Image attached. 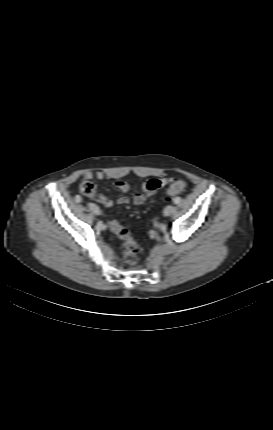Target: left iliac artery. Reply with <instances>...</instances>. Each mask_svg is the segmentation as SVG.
<instances>
[{"label": "left iliac artery", "mask_w": 273, "mask_h": 430, "mask_svg": "<svg viewBox=\"0 0 273 430\" xmlns=\"http://www.w3.org/2000/svg\"><path fill=\"white\" fill-rule=\"evenodd\" d=\"M181 202V199L180 198H175L174 200H173V203L174 204H179Z\"/></svg>", "instance_id": "obj_1"}]
</instances>
